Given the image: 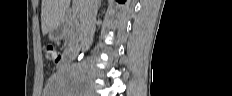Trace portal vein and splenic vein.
Here are the masks:
<instances>
[{"instance_id":"18ae733b","label":"portal vein and splenic vein","mask_w":232,"mask_h":96,"mask_svg":"<svg viewBox=\"0 0 232 96\" xmlns=\"http://www.w3.org/2000/svg\"><path fill=\"white\" fill-rule=\"evenodd\" d=\"M78 6V0H73V7H77ZM73 11H74V8H73Z\"/></svg>"}]
</instances>
